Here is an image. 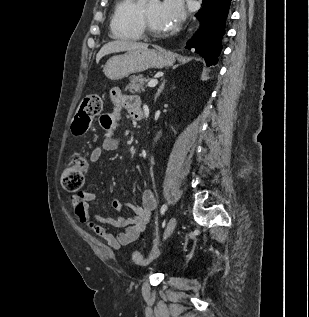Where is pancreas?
I'll use <instances>...</instances> for the list:
<instances>
[{"mask_svg":"<svg viewBox=\"0 0 309 317\" xmlns=\"http://www.w3.org/2000/svg\"><path fill=\"white\" fill-rule=\"evenodd\" d=\"M145 82H147V79L145 78L132 76L129 78V84L126 87V90L133 94L144 92Z\"/></svg>","mask_w":309,"mask_h":317,"instance_id":"1","label":"pancreas"}]
</instances>
